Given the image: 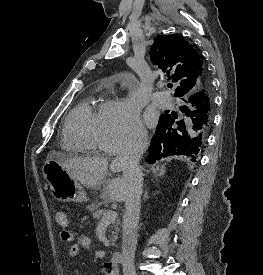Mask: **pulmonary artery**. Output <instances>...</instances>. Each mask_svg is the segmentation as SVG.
I'll use <instances>...</instances> for the list:
<instances>
[{
  "mask_svg": "<svg viewBox=\"0 0 263 275\" xmlns=\"http://www.w3.org/2000/svg\"><path fill=\"white\" fill-rule=\"evenodd\" d=\"M154 104L161 108H171L174 105L173 99L166 92H156L152 95Z\"/></svg>",
  "mask_w": 263,
  "mask_h": 275,
  "instance_id": "1",
  "label": "pulmonary artery"
}]
</instances>
